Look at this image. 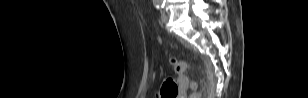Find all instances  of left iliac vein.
<instances>
[{
  "label": "left iliac vein",
  "instance_id": "4c4485c4",
  "mask_svg": "<svg viewBox=\"0 0 308 98\" xmlns=\"http://www.w3.org/2000/svg\"><path fill=\"white\" fill-rule=\"evenodd\" d=\"M161 21L162 23H166L168 21V16L165 11H163L161 14Z\"/></svg>",
  "mask_w": 308,
  "mask_h": 98
}]
</instances>
